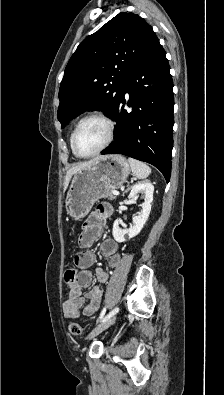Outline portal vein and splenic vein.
<instances>
[{"instance_id": "obj_1", "label": "portal vein and splenic vein", "mask_w": 224, "mask_h": 395, "mask_svg": "<svg viewBox=\"0 0 224 395\" xmlns=\"http://www.w3.org/2000/svg\"><path fill=\"white\" fill-rule=\"evenodd\" d=\"M112 193H113V195H116V196H118L119 195V192L118 191H112Z\"/></svg>"}]
</instances>
